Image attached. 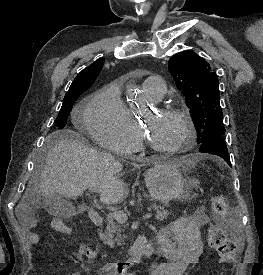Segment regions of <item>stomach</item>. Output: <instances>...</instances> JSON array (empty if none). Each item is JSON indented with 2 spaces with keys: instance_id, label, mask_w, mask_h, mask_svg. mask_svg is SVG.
Returning <instances> with one entry per match:
<instances>
[{
  "instance_id": "0dacf381",
  "label": "stomach",
  "mask_w": 263,
  "mask_h": 275,
  "mask_svg": "<svg viewBox=\"0 0 263 275\" xmlns=\"http://www.w3.org/2000/svg\"><path fill=\"white\" fill-rule=\"evenodd\" d=\"M145 183L152 198L168 203L188 199V187L178 164L157 163L145 173Z\"/></svg>"
}]
</instances>
